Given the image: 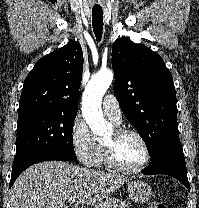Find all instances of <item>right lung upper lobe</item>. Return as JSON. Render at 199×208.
I'll return each instance as SVG.
<instances>
[{
    "instance_id": "cb5924a9",
    "label": "right lung upper lobe",
    "mask_w": 199,
    "mask_h": 208,
    "mask_svg": "<svg viewBox=\"0 0 199 208\" xmlns=\"http://www.w3.org/2000/svg\"><path fill=\"white\" fill-rule=\"evenodd\" d=\"M82 70L83 53L76 41L41 58L24 81L19 112L77 113Z\"/></svg>"
}]
</instances>
